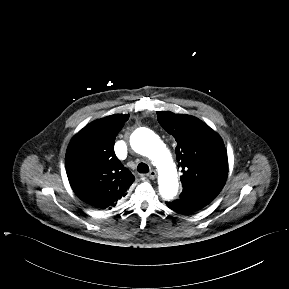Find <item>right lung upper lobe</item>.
Here are the masks:
<instances>
[{
	"label": "right lung upper lobe",
	"instance_id": "right-lung-upper-lobe-1",
	"mask_svg": "<svg viewBox=\"0 0 289 289\" xmlns=\"http://www.w3.org/2000/svg\"><path fill=\"white\" fill-rule=\"evenodd\" d=\"M128 118L115 114L96 120L69 143L65 164L70 185L81 200L97 208L115 206L135 180L114 153L115 137Z\"/></svg>",
	"mask_w": 289,
	"mask_h": 289
}]
</instances>
